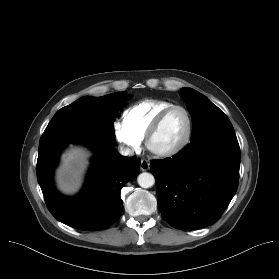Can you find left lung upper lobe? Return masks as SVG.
<instances>
[{"instance_id":"left-lung-upper-lobe-1","label":"left lung upper lobe","mask_w":279,"mask_h":279,"mask_svg":"<svg viewBox=\"0 0 279 279\" xmlns=\"http://www.w3.org/2000/svg\"><path fill=\"white\" fill-rule=\"evenodd\" d=\"M179 94L191 113L193 121L191 140L208 133L234 131L225 113L204 95L191 88H183Z\"/></svg>"}]
</instances>
